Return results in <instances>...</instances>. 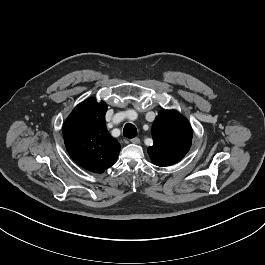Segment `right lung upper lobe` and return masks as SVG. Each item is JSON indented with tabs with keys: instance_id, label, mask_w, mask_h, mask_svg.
<instances>
[{
	"instance_id": "1",
	"label": "right lung upper lobe",
	"mask_w": 265,
	"mask_h": 265,
	"mask_svg": "<svg viewBox=\"0 0 265 265\" xmlns=\"http://www.w3.org/2000/svg\"><path fill=\"white\" fill-rule=\"evenodd\" d=\"M107 105L89 98L77 105L63 125L66 149L81 167L102 173L116 163L120 144L107 131Z\"/></svg>"
}]
</instances>
